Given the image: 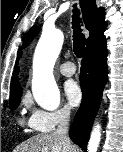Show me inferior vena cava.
<instances>
[{
    "label": "inferior vena cava",
    "instance_id": "1",
    "mask_svg": "<svg viewBox=\"0 0 123 152\" xmlns=\"http://www.w3.org/2000/svg\"><path fill=\"white\" fill-rule=\"evenodd\" d=\"M69 120H70V112L67 110L60 111L57 130L54 133L55 135L61 137L67 143L70 142L68 136Z\"/></svg>",
    "mask_w": 123,
    "mask_h": 152
}]
</instances>
